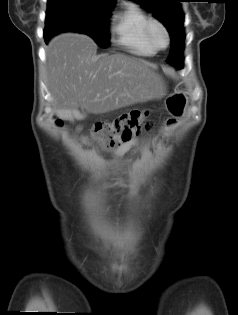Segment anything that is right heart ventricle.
<instances>
[{"mask_svg":"<svg viewBox=\"0 0 238 315\" xmlns=\"http://www.w3.org/2000/svg\"><path fill=\"white\" fill-rule=\"evenodd\" d=\"M149 19L141 8L128 5L114 20L113 32L117 42L134 54L154 55L157 50L149 43L145 33Z\"/></svg>","mask_w":238,"mask_h":315,"instance_id":"right-heart-ventricle-1","label":"right heart ventricle"}]
</instances>
